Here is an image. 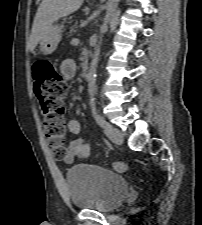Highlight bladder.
<instances>
[{
    "label": "bladder",
    "instance_id": "1",
    "mask_svg": "<svg viewBox=\"0 0 202 225\" xmlns=\"http://www.w3.org/2000/svg\"><path fill=\"white\" fill-rule=\"evenodd\" d=\"M67 194L74 208L110 213L124 202L129 184L107 168L78 165L65 174Z\"/></svg>",
    "mask_w": 202,
    "mask_h": 225
}]
</instances>
